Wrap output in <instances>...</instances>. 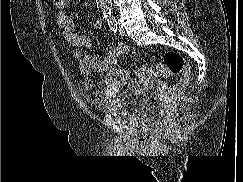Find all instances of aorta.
I'll return each mask as SVG.
<instances>
[{
    "label": "aorta",
    "mask_w": 243,
    "mask_h": 182,
    "mask_svg": "<svg viewBox=\"0 0 243 182\" xmlns=\"http://www.w3.org/2000/svg\"><path fill=\"white\" fill-rule=\"evenodd\" d=\"M98 9L101 11L105 19L112 20V0H96Z\"/></svg>",
    "instance_id": "obj_1"
}]
</instances>
